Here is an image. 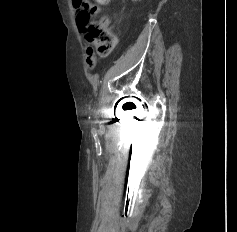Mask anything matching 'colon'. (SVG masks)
<instances>
[{"label": "colon", "instance_id": "1", "mask_svg": "<svg viewBox=\"0 0 237 232\" xmlns=\"http://www.w3.org/2000/svg\"><path fill=\"white\" fill-rule=\"evenodd\" d=\"M112 0H73L75 8L79 9L77 23L82 32L85 33L86 39L93 44L96 51L101 56H106L112 52L115 46L113 34L96 18V4L106 5Z\"/></svg>", "mask_w": 237, "mask_h": 232}]
</instances>
